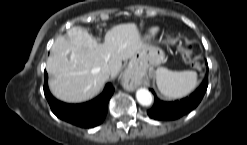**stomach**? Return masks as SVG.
I'll return each mask as SVG.
<instances>
[{
  "mask_svg": "<svg viewBox=\"0 0 247 145\" xmlns=\"http://www.w3.org/2000/svg\"><path fill=\"white\" fill-rule=\"evenodd\" d=\"M165 61V53L161 48L148 46L130 59L128 69L135 74H141Z\"/></svg>",
  "mask_w": 247,
  "mask_h": 145,
  "instance_id": "1",
  "label": "stomach"
}]
</instances>
